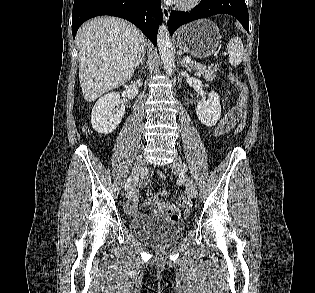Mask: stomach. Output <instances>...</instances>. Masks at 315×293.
Segmentation results:
<instances>
[{
    "mask_svg": "<svg viewBox=\"0 0 315 293\" xmlns=\"http://www.w3.org/2000/svg\"><path fill=\"white\" fill-rule=\"evenodd\" d=\"M221 35L210 20L201 19L183 26L176 35L178 47L197 58H207L217 49Z\"/></svg>",
    "mask_w": 315,
    "mask_h": 293,
    "instance_id": "obj_1",
    "label": "stomach"
}]
</instances>
